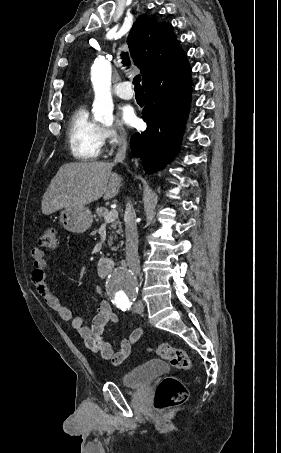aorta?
Instances as JSON below:
<instances>
[{
  "instance_id": "1",
  "label": "aorta",
  "mask_w": 281,
  "mask_h": 453,
  "mask_svg": "<svg viewBox=\"0 0 281 453\" xmlns=\"http://www.w3.org/2000/svg\"><path fill=\"white\" fill-rule=\"evenodd\" d=\"M111 64L104 58L96 59L91 67V82L95 93L94 119L103 124L113 123L111 95ZM106 291L117 305H125L137 291V280L132 271L116 268L106 280Z\"/></svg>"
}]
</instances>
